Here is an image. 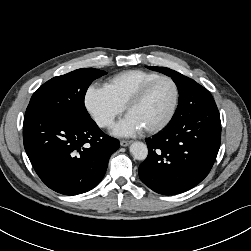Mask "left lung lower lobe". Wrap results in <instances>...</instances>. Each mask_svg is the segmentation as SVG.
<instances>
[{"label":"left lung lower lobe","mask_w":251,"mask_h":251,"mask_svg":"<svg viewBox=\"0 0 251 251\" xmlns=\"http://www.w3.org/2000/svg\"><path fill=\"white\" fill-rule=\"evenodd\" d=\"M146 142L148 157L139 166L146 186L174 195L199 184L210 172L221 142L220 115L210 92L203 88L187 94L176 120Z\"/></svg>","instance_id":"obj_1"}]
</instances>
